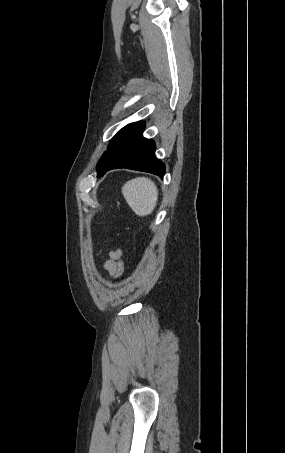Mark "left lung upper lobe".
I'll use <instances>...</instances> for the list:
<instances>
[{
  "mask_svg": "<svg viewBox=\"0 0 285 453\" xmlns=\"http://www.w3.org/2000/svg\"><path fill=\"white\" fill-rule=\"evenodd\" d=\"M131 124L125 126L124 128H122L111 140L109 146H108V150L109 152H105L104 153V156L102 157V159L100 160V162L98 163V166H97V171H98V174L100 172V170L103 168V166L106 164V162L108 161L114 147L116 146L118 140L120 139V137L122 136V134L127 130V128L130 126Z\"/></svg>",
  "mask_w": 285,
  "mask_h": 453,
  "instance_id": "left-lung-upper-lobe-1",
  "label": "left lung upper lobe"
}]
</instances>
